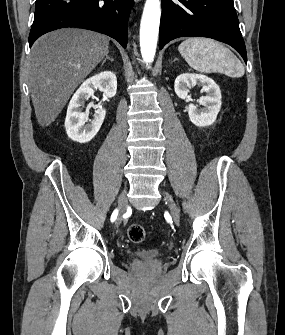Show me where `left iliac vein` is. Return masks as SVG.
Here are the masks:
<instances>
[{"mask_svg":"<svg viewBox=\"0 0 285 335\" xmlns=\"http://www.w3.org/2000/svg\"><path fill=\"white\" fill-rule=\"evenodd\" d=\"M163 195H164V199L168 202V206L170 208L171 211V215L173 217L174 220H179V209L176 206V204L174 203V201L171 199V197L168 195L167 192L162 191Z\"/></svg>","mask_w":285,"mask_h":335,"instance_id":"4c4485c4","label":"left iliac vein"}]
</instances>
